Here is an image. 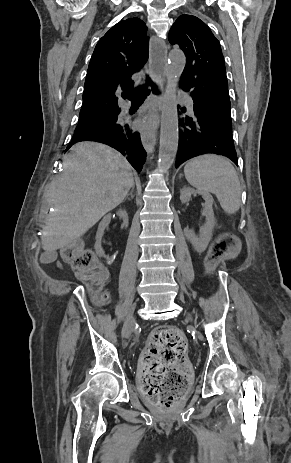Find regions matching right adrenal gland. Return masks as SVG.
<instances>
[{
  "label": "right adrenal gland",
  "mask_w": 291,
  "mask_h": 463,
  "mask_svg": "<svg viewBox=\"0 0 291 463\" xmlns=\"http://www.w3.org/2000/svg\"><path fill=\"white\" fill-rule=\"evenodd\" d=\"M133 190H134V185L131 187V190H130V192L126 195L124 201L127 200L129 196L131 197V199L134 198Z\"/></svg>",
  "instance_id": "right-adrenal-gland-1"
}]
</instances>
